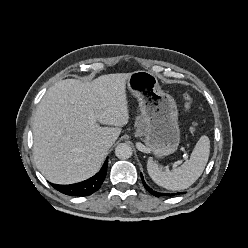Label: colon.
<instances>
[{
	"label": "colon",
	"mask_w": 248,
	"mask_h": 248,
	"mask_svg": "<svg viewBox=\"0 0 248 248\" xmlns=\"http://www.w3.org/2000/svg\"><path fill=\"white\" fill-rule=\"evenodd\" d=\"M193 99L192 97L186 93L184 94V104H185V109L189 111L192 107Z\"/></svg>",
	"instance_id": "1"
}]
</instances>
